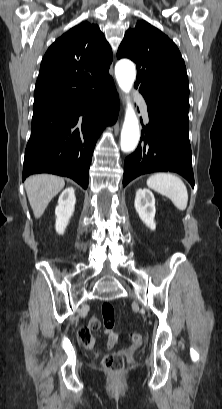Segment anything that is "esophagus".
<instances>
[{"mask_svg":"<svg viewBox=\"0 0 222 409\" xmlns=\"http://www.w3.org/2000/svg\"><path fill=\"white\" fill-rule=\"evenodd\" d=\"M119 95H120L121 102L124 103V96L121 91H119Z\"/></svg>","mask_w":222,"mask_h":409,"instance_id":"obj_1","label":"esophagus"}]
</instances>
